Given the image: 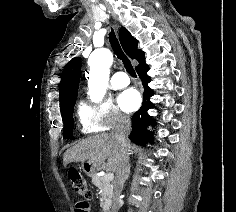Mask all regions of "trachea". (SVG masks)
<instances>
[{"instance_id": "3493384b", "label": "trachea", "mask_w": 236, "mask_h": 212, "mask_svg": "<svg viewBox=\"0 0 236 212\" xmlns=\"http://www.w3.org/2000/svg\"><path fill=\"white\" fill-rule=\"evenodd\" d=\"M109 40H110L111 46L113 48V51L115 52V54L118 57V59H120L123 62L126 71L132 77H137V75L135 73V70H134V68H133V66L131 64V61L125 55V53L123 52V50H122V48L120 46V43H119V41H118V39H117L113 29H111Z\"/></svg>"}]
</instances>
